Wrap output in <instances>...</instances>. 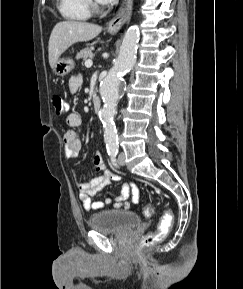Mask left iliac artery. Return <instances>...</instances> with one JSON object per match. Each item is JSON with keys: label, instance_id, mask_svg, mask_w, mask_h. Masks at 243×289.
Masks as SVG:
<instances>
[{"label": "left iliac artery", "instance_id": "1", "mask_svg": "<svg viewBox=\"0 0 243 289\" xmlns=\"http://www.w3.org/2000/svg\"><path fill=\"white\" fill-rule=\"evenodd\" d=\"M109 155H110L112 164L114 166H117V162H116L117 151L116 152H111V153H109Z\"/></svg>", "mask_w": 243, "mask_h": 289}]
</instances>
